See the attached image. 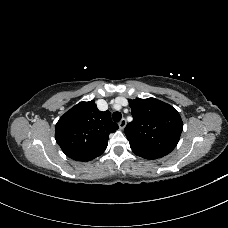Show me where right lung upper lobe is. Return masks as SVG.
Returning a JSON list of instances; mask_svg holds the SVG:
<instances>
[{
	"label": "right lung upper lobe",
	"mask_w": 228,
	"mask_h": 228,
	"mask_svg": "<svg viewBox=\"0 0 228 228\" xmlns=\"http://www.w3.org/2000/svg\"><path fill=\"white\" fill-rule=\"evenodd\" d=\"M117 129L111 113L99 111L92 100L78 103L59 119L55 139L71 159L90 161L105 151L109 134Z\"/></svg>",
	"instance_id": "right-lung-upper-lobe-1"
}]
</instances>
